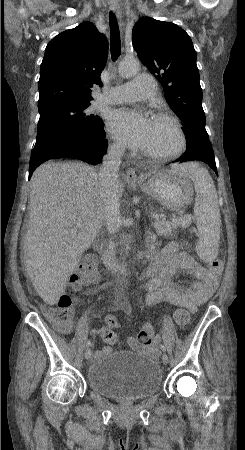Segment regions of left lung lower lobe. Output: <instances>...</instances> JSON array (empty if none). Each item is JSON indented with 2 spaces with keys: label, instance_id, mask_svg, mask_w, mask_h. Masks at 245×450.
Segmentation results:
<instances>
[{
  "label": "left lung lower lobe",
  "instance_id": "obj_1",
  "mask_svg": "<svg viewBox=\"0 0 245 450\" xmlns=\"http://www.w3.org/2000/svg\"><path fill=\"white\" fill-rule=\"evenodd\" d=\"M200 160L209 164V166L216 172L217 168L215 164L214 151L211 148H201V150H196L190 153H184L174 162H185L188 160ZM218 175V174H217Z\"/></svg>",
  "mask_w": 245,
  "mask_h": 450
}]
</instances>
